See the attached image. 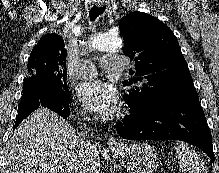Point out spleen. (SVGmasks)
Returning <instances> with one entry per match:
<instances>
[{"label":"spleen","mask_w":219,"mask_h":173,"mask_svg":"<svg viewBox=\"0 0 219 173\" xmlns=\"http://www.w3.org/2000/svg\"><path fill=\"white\" fill-rule=\"evenodd\" d=\"M176 158L184 173H208L198 154L183 142L175 145Z\"/></svg>","instance_id":"3e777b00"}]
</instances>
